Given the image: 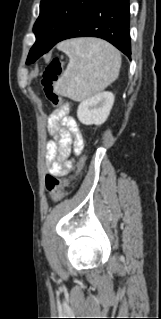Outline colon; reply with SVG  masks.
Segmentation results:
<instances>
[{
    "instance_id": "1",
    "label": "colon",
    "mask_w": 161,
    "mask_h": 319,
    "mask_svg": "<svg viewBox=\"0 0 161 319\" xmlns=\"http://www.w3.org/2000/svg\"><path fill=\"white\" fill-rule=\"evenodd\" d=\"M64 66L60 59H52L45 67L42 77L41 85L47 99L56 107L61 109L64 113L69 112V105L62 100L55 92L54 84L63 75ZM83 164V157L80 161V166ZM68 185V182L62 178L54 175H48L45 180V189L48 194L52 196L53 201L58 204L63 199V189Z\"/></svg>"
}]
</instances>
